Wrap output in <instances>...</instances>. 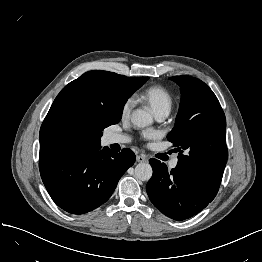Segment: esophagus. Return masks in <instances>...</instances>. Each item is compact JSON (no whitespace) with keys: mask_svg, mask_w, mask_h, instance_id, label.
Here are the masks:
<instances>
[{"mask_svg":"<svg viewBox=\"0 0 262 262\" xmlns=\"http://www.w3.org/2000/svg\"><path fill=\"white\" fill-rule=\"evenodd\" d=\"M136 161L139 163L147 162L148 158L146 155L140 154L136 156Z\"/></svg>","mask_w":262,"mask_h":262,"instance_id":"1","label":"esophagus"}]
</instances>
